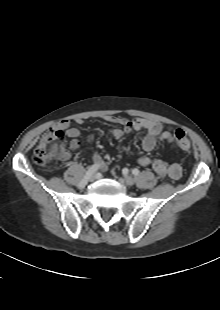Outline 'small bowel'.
<instances>
[{
	"label": "small bowel",
	"mask_w": 220,
	"mask_h": 310,
	"mask_svg": "<svg viewBox=\"0 0 220 310\" xmlns=\"http://www.w3.org/2000/svg\"><path fill=\"white\" fill-rule=\"evenodd\" d=\"M105 121L120 125L121 127H115L111 130V134L114 138L120 139L125 134L131 131H144V137L142 139V148L144 151H152L157 142H166L171 146H174L175 140L170 127L165 126L160 122H156L144 118L128 119L120 116H104ZM83 119H76L77 124H83ZM54 129H59L64 132V135L70 138L69 150L74 151L79 147L78 137L81 132L78 128L72 127L69 120H62L58 122ZM89 142L94 141L92 134L87 137ZM93 161L100 169H105L106 165L102 156L95 152L93 154ZM139 165L143 167L151 166L154 172L160 177H168L172 180H178L182 175V168L178 163L165 162L160 159H152L148 156H142L138 159Z\"/></svg>",
	"instance_id": "1"
}]
</instances>
